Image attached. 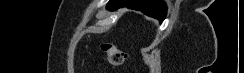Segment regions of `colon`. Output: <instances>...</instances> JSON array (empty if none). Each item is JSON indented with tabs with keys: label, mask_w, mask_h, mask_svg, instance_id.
I'll return each instance as SVG.
<instances>
[{
	"label": "colon",
	"mask_w": 244,
	"mask_h": 73,
	"mask_svg": "<svg viewBox=\"0 0 244 73\" xmlns=\"http://www.w3.org/2000/svg\"><path fill=\"white\" fill-rule=\"evenodd\" d=\"M102 51L107 64L111 66H121L124 64L125 54L118 45L105 42L102 44Z\"/></svg>",
	"instance_id": "5ec220e1"
}]
</instances>
